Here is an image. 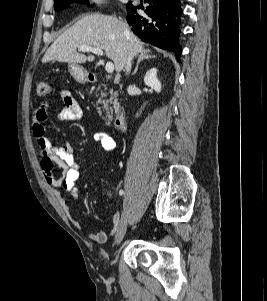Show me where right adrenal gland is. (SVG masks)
Here are the masks:
<instances>
[{
	"label": "right adrenal gland",
	"instance_id": "1",
	"mask_svg": "<svg viewBox=\"0 0 267 301\" xmlns=\"http://www.w3.org/2000/svg\"><path fill=\"white\" fill-rule=\"evenodd\" d=\"M156 56L155 55H151L149 53V51H143L141 52L139 55H138V59H137V64H136V67H135V70L133 72V75H135L138 71V67H139V64L141 61L145 60V59H155Z\"/></svg>",
	"mask_w": 267,
	"mask_h": 301
}]
</instances>
